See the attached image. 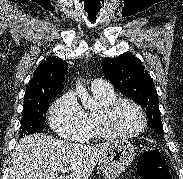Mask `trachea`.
I'll return each mask as SVG.
<instances>
[{
  "label": "trachea",
  "instance_id": "obj_1",
  "mask_svg": "<svg viewBox=\"0 0 183 179\" xmlns=\"http://www.w3.org/2000/svg\"><path fill=\"white\" fill-rule=\"evenodd\" d=\"M96 14H97V12L94 13V14H91V15H90V13H89V19L92 20L93 18H96Z\"/></svg>",
  "mask_w": 183,
  "mask_h": 179
}]
</instances>
